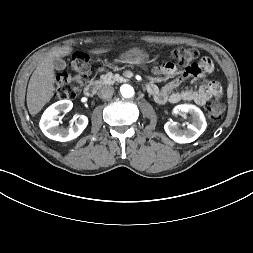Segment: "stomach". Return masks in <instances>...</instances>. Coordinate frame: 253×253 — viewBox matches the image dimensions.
I'll use <instances>...</instances> for the list:
<instances>
[{
    "mask_svg": "<svg viewBox=\"0 0 253 253\" xmlns=\"http://www.w3.org/2000/svg\"><path fill=\"white\" fill-rule=\"evenodd\" d=\"M119 59L123 63L140 65L148 60V55L139 48H133L122 53Z\"/></svg>",
    "mask_w": 253,
    "mask_h": 253,
    "instance_id": "1",
    "label": "stomach"
}]
</instances>
